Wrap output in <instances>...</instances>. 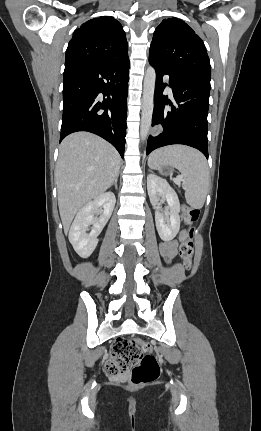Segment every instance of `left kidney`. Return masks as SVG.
Segmentation results:
<instances>
[{
	"instance_id": "5707ae66",
	"label": "left kidney",
	"mask_w": 261,
	"mask_h": 431,
	"mask_svg": "<svg viewBox=\"0 0 261 431\" xmlns=\"http://www.w3.org/2000/svg\"><path fill=\"white\" fill-rule=\"evenodd\" d=\"M147 191L151 204L156 207L160 199L165 200L170 209L169 217H164L158 210L155 211V223L158 234L163 241H170L178 234L180 229V202L176 192L168 182L154 174L147 176Z\"/></svg>"
}]
</instances>
